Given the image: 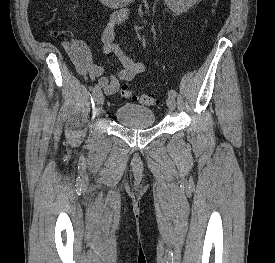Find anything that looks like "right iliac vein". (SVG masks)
<instances>
[{
	"mask_svg": "<svg viewBox=\"0 0 275 263\" xmlns=\"http://www.w3.org/2000/svg\"><path fill=\"white\" fill-rule=\"evenodd\" d=\"M95 102H96V111L97 113H99L102 109V105L104 102V96L102 93H100L96 98H95Z\"/></svg>",
	"mask_w": 275,
	"mask_h": 263,
	"instance_id": "obj_1",
	"label": "right iliac vein"
}]
</instances>
